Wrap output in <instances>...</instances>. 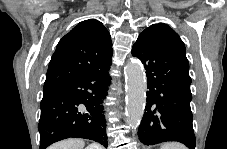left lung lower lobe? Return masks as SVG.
Listing matches in <instances>:
<instances>
[{"label": "left lung lower lobe", "instance_id": "obj_1", "mask_svg": "<svg viewBox=\"0 0 227 149\" xmlns=\"http://www.w3.org/2000/svg\"><path fill=\"white\" fill-rule=\"evenodd\" d=\"M132 55L144 64L149 89L138 130L141 143L178 141L195 149L189 66L151 26L139 35Z\"/></svg>", "mask_w": 227, "mask_h": 149}]
</instances>
